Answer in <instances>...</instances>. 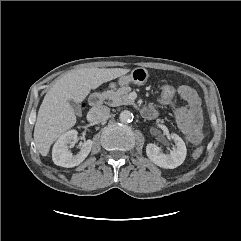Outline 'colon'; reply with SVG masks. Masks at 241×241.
<instances>
[{
	"mask_svg": "<svg viewBox=\"0 0 241 241\" xmlns=\"http://www.w3.org/2000/svg\"><path fill=\"white\" fill-rule=\"evenodd\" d=\"M176 93V89L175 87H173L172 85H164L161 89L160 92V98L163 101H170L174 98ZM203 154V149L202 148H196L193 152V157L194 158H199L201 155Z\"/></svg>",
	"mask_w": 241,
	"mask_h": 241,
	"instance_id": "colon-1",
	"label": "colon"
}]
</instances>
